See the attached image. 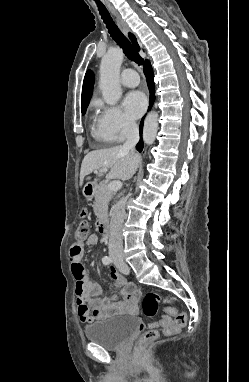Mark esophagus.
I'll use <instances>...</instances> for the list:
<instances>
[{
    "instance_id": "obj_1",
    "label": "esophagus",
    "mask_w": 249,
    "mask_h": 382,
    "mask_svg": "<svg viewBox=\"0 0 249 382\" xmlns=\"http://www.w3.org/2000/svg\"><path fill=\"white\" fill-rule=\"evenodd\" d=\"M108 8L111 11V13L114 15L116 22L118 24V27L120 28L122 33L127 36L128 32L130 31L127 23L120 17V15L116 12V10L111 5L108 4Z\"/></svg>"
}]
</instances>
